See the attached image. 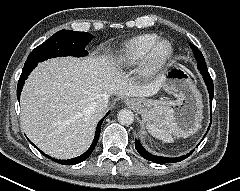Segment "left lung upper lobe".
<instances>
[{
  "label": "left lung upper lobe",
  "mask_w": 240,
  "mask_h": 191,
  "mask_svg": "<svg viewBox=\"0 0 240 191\" xmlns=\"http://www.w3.org/2000/svg\"><path fill=\"white\" fill-rule=\"evenodd\" d=\"M190 46L193 49V53L195 55L197 63L205 64L204 57H203L202 53L200 52V50H198V48L195 45H193L192 43H190Z\"/></svg>",
  "instance_id": "5c2ea615"
}]
</instances>
